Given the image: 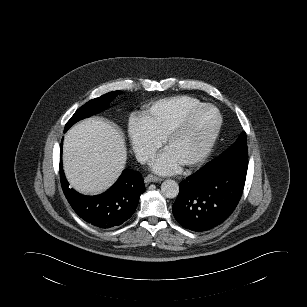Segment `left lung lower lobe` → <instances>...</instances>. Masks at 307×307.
<instances>
[{
	"label": "left lung lower lobe",
	"instance_id": "1",
	"mask_svg": "<svg viewBox=\"0 0 307 307\" xmlns=\"http://www.w3.org/2000/svg\"><path fill=\"white\" fill-rule=\"evenodd\" d=\"M247 168L248 164L215 163L187 177L172 207L177 222L194 232L221 225L241 198Z\"/></svg>",
	"mask_w": 307,
	"mask_h": 307
}]
</instances>
